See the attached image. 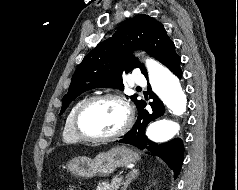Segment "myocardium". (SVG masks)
Masks as SVG:
<instances>
[{"mask_svg":"<svg viewBox=\"0 0 238 190\" xmlns=\"http://www.w3.org/2000/svg\"><path fill=\"white\" fill-rule=\"evenodd\" d=\"M107 99L115 100L122 105V107L125 110V114H126V119H125L124 124L116 132L109 134V135L95 136V135H90V134L85 133L82 130L81 124H80L81 117H82L84 111L89 106H91L93 103L102 101V100H107ZM133 121H134V111H133L129 101L126 99V97L121 94H118V93L109 92V93L94 95L92 97L85 99L75 112L74 119H73V126H74V130H75L77 136L84 141L106 142V141L115 140V139L121 137L122 135H124L132 126Z\"/></svg>","mask_w":238,"mask_h":190,"instance_id":"myocardium-1","label":"myocardium"}]
</instances>
